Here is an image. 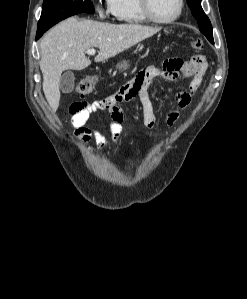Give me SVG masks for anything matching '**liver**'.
Returning <instances> with one entry per match:
<instances>
[{
  "label": "liver",
  "instance_id": "obj_1",
  "mask_svg": "<svg viewBox=\"0 0 247 299\" xmlns=\"http://www.w3.org/2000/svg\"><path fill=\"white\" fill-rule=\"evenodd\" d=\"M161 28L137 24H110L70 17L51 29L41 40L40 69L43 92L53 112L59 107L60 78L65 70L81 71L91 61L85 51L99 48L95 62H102L153 36Z\"/></svg>",
  "mask_w": 247,
  "mask_h": 299
}]
</instances>
